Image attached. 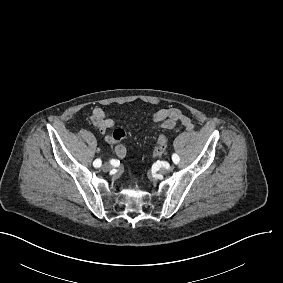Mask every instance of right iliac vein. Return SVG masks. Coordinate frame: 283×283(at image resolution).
<instances>
[{"mask_svg": "<svg viewBox=\"0 0 283 283\" xmlns=\"http://www.w3.org/2000/svg\"><path fill=\"white\" fill-rule=\"evenodd\" d=\"M111 168H112V166L109 163H105V164L102 165V169L104 171H109V170H111Z\"/></svg>", "mask_w": 283, "mask_h": 283, "instance_id": "1", "label": "right iliac vein"}]
</instances>
